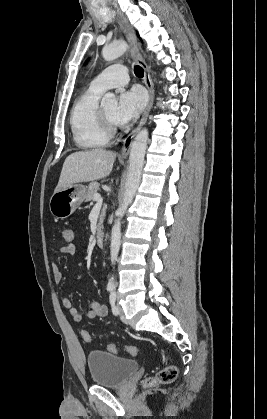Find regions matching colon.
I'll return each mask as SVG.
<instances>
[{
	"mask_svg": "<svg viewBox=\"0 0 267 419\" xmlns=\"http://www.w3.org/2000/svg\"><path fill=\"white\" fill-rule=\"evenodd\" d=\"M62 237L67 245H75V234L72 228H65L62 231ZM82 338L86 342L91 341V334L87 330L82 331ZM107 350L111 353L118 354L121 351L135 356L137 354V348L135 346H119L116 344H108ZM177 376V369L173 365H166L160 369L154 376H150L145 380L147 386H154L157 384H168L173 382Z\"/></svg>",
	"mask_w": 267,
	"mask_h": 419,
	"instance_id": "colon-1",
	"label": "colon"
}]
</instances>
